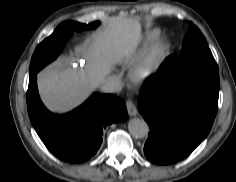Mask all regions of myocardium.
I'll return each mask as SVG.
<instances>
[{
	"instance_id": "f54148a6",
	"label": "myocardium",
	"mask_w": 236,
	"mask_h": 182,
	"mask_svg": "<svg viewBox=\"0 0 236 182\" xmlns=\"http://www.w3.org/2000/svg\"><path fill=\"white\" fill-rule=\"evenodd\" d=\"M170 49V43L165 37L154 40L149 49L130 71V79L137 85H143L152 80L165 62Z\"/></svg>"
}]
</instances>
